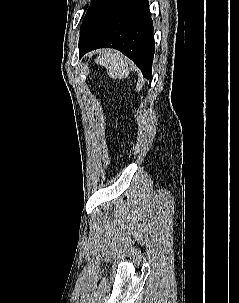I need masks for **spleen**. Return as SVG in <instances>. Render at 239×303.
Returning <instances> with one entry per match:
<instances>
[{"label":"spleen","mask_w":239,"mask_h":303,"mask_svg":"<svg viewBox=\"0 0 239 303\" xmlns=\"http://www.w3.org/2000/svg\"><path fill=\"white\" fill-rule=\"evenodd\" d=\"M95 62L104 66L112 78H126L131 71L129 60L118 51L105 50L97 57Z\"/></svg>","instance_id":"obj_1"}]
</instances>
